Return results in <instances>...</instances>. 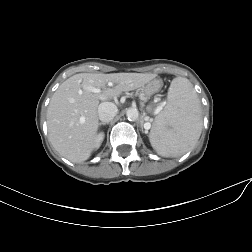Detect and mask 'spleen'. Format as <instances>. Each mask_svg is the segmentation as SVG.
<instances>
[{
	"label": "spleen",
	"instance_id": "3e777b00",
	"mask_svg": "<svg viewBox=\"0 0 252 252\" xmlns=\"http://www.w3.org/2000/svg\"><path fill=\"white\" fill-rule=\"evenodd\" d=\"M202 126L201 103L192 83L186 78H174L167 104L150 130L152 147L164 157L183 155L200 138Z\"/></svg>",
	"mask_w": 252,
	"mask_h": 252
}]
</instances>
